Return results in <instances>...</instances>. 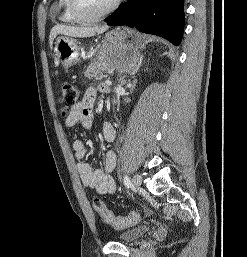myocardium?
<instances>
[{
	"label": "myocardium",
	"instance_id": "myocardium-1",
	"mask_svg": "<svg viewBox=\"0 0 247 257\" xmlns=\"http://www.w3.org/2000/svg\"><path fill=\"white\" fill-rule=\"evenodd\" d=\"M121 2L122 0H114L104 11L92 16L86 15L82 12L79 0H70V8L77 22L82 24H90L110 15L118 8Z\"/></svg>",
	"mask_w": 247,
	"mask_h": 257
}]
</instances>
